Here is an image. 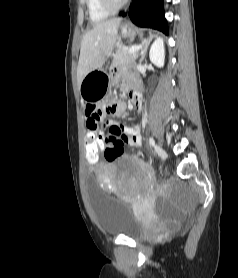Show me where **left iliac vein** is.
<instances>
[{"label":"left iliac vein","mask_w":238,"mask_h":278,"mask_svg":"<svg viewBox=\"0 0 238 278\" xmlns=\"http://www.w3.org/2000/svg\"><path fill=\"white\" fill-rule=\"evenodd\" d=\"M155 150H156V153L158 154V156H160L161 158L164 159L167 157V153L160 145H156Z\"/></svg>","instance_id":"left-iliac-vein-1"}]
</instances>
